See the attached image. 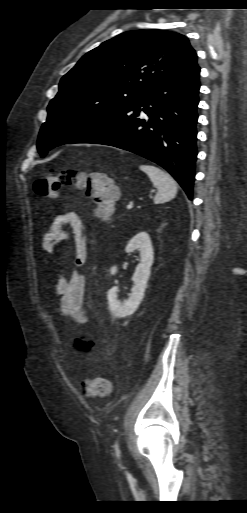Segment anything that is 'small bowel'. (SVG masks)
I'll list each match as a JSON object with an SVG mask.
<instances>
[{"label":"small bowel","instance_id":"c3829d8e","mask_svg":"<svg viewBox=\"0 0 247 513\" xmlns=\"http://www.w3.org/2000/svg\"><path fill=\"white\" fill-rule=\"evenodd\" d=\"M65 227H68L69 230H66ZM68 240H72L74 244L73 265L75 270L71 275L60 271L53 291L59 297V314L63 317L72 318L80 325H85L88 322V316L84 308L87 282L80 269L87 260V241L85 225L76 212H66L54 217L42 236L41 249L45 253L52 254L60 244ZM90 346L87 343L84 348L89 349Z\"/></svg>","mask_w":247,"mask_h":513}]
</instances>
